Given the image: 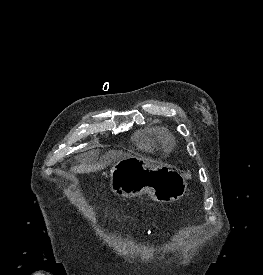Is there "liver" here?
I'll return each mask as SVG.
<instances>
[{"instance_id":"6515ba94","label":"liver","mask_w":263,"mask_h":275,"mask_svg":"<svg viewBox=\"0 0 263 275\" xmlns=\"http://www.w3.org/2000/svg\"><path fill=\"white\" fill-rule=\"evenodd\" d=\"M129 156L130 155L127 154V153H123V152H120V151H112L109 154H107L106 159L107 160H113V161L117 162V161H119L123 158H127ZM83 157H85V159L82 161V163L71 169L73 172L82 173V174L95 172V171H98L100 169H103L108 163V161L101 162V163H93V162H90L88 160L87 155H84Z\"/></svg>"}]
</instances>
